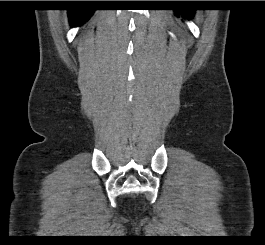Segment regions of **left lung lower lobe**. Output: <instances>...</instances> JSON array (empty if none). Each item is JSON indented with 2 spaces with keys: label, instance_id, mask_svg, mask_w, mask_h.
<instances>
[{
  "label": "left lung lower lobe",
  "instance_id": "obj_1",
  "mask_svg": "<svg viewBox=\"0 0 265 245\" xmlns=\"http://www.w3.org/2000/svg\"><path fill=\"white\" fill-rule=\"evenodd\" d=\"M183 17L191 18L193 16V10H181Z\"/></svg>",
  "mask_w": 265,
  "mask_h": 245
}]
</instances>
